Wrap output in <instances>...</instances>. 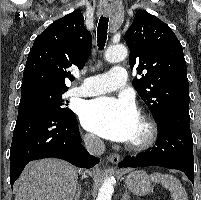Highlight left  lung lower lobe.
Returning <instances> with one entry per match:
<instances>
[{"mask_svg":"<svg viewBox=\"0 0 201 200\" xmlns=\"http://www.w3.org/2000/svg\"><path fill=\"white\" fill-rule=\"evenodd\" d=\"M189 110L171 109L157 120L158 137L153 148L126 157L119 167L161 166L183 171L194 184L193 139Z\"/></svg>","mask_w":201,"mask_h":200,"instance_id":"1","label":"left lung lower lobe"}]
</instances>
